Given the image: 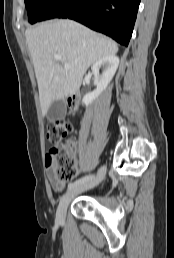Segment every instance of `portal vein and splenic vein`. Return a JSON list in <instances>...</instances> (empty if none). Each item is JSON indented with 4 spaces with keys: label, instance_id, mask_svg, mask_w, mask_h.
I'll list each match as a JSON object with an SVG mask.
<instances>
[{
    "label": "portal vein and splenic vein",
    "instance_id": "obj_1",
    "mask_svg": "<svg viewBox=\"0 0 174 258\" xmlns=\"http://www.w3.org/2000/svg\"><path fill=\"white\" fill-rule=\"evenodd\" d=\"M54 59H55V60H60L61 57H60V56H55ZM64 68H65L66 70H69V69H71V66H70L69 64H64Z\"/></svg>",
    "mask_w": 174,
    "mask_h": 258
}]
</instances>
